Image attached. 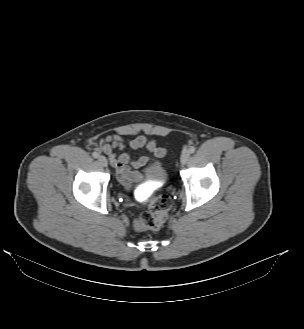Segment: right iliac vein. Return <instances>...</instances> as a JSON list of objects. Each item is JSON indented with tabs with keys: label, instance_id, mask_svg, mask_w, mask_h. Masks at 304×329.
<instances>
[{
	"label": "right iliac vein",
	"instance_id": "1",
	"mask_svg": "<svg viewBox=\"0 0 304 329\" xmlns=\"http://www.w3.org/2000/svg\"><path fill=\"white\" fill-rule=\"evenodd\" d=\"M98 160L102 166L106 167L108 165V161L105 156H99Z\"/></svg>",
	"mask_w": 304,
	"mask_h": 329
}]
</instances>
